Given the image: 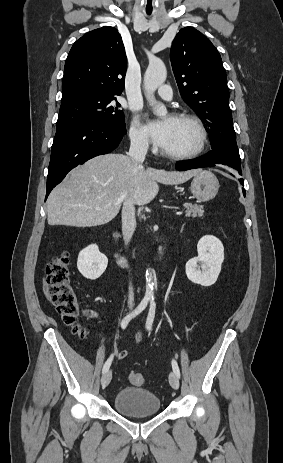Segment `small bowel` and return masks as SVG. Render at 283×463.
<instances>
[{"label":"small bowel","instance_id":"small-bowel-1","mask_svg":"<svg viewBox=\"0 0 283 463\" xmlns=\"http://www.w3.org/2000/svg\"><path fill=\"white\" fill-rule=\"evenodd\" d=\"M125 356V353L120 354V358H123Z\"/></svg>","mask_w":283,"mask_h":463}]
</instances>
